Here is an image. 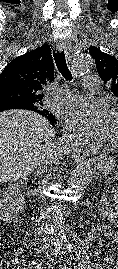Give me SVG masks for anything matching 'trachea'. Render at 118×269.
<instances>
[{
    "label": "trachea",
    "mask_w": 118,
    "mask_h": 269,
    "mask_svg": "<svg viewBox=\"0 0 118 269\" xmlns=\"http://www.w3.org/2000/svg\"><path fill=\"white\" fill-rule=\"evenodd\" d=\"M53 57L58 71L62 74V76L66 80L71 81L73 77L70 70L67 67L64 50H62L61 52L54 51Z\"/></svg>",
    "instance_id": "3493384b"
}]
</instances>
